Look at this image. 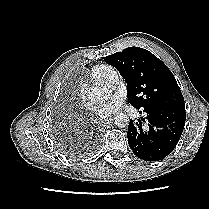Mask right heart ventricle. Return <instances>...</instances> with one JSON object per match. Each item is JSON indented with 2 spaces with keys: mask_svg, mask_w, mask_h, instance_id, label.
I'll return each mask as SVG.
<instances>
[{
  "mask_svg": "<svg viewBox=\"0 0 209 209\" xmlns=\"http://www.w3.org/2000/svg\"><path fill=\"white\" fill-rule=\"evenodd\" d=\"M114 70L111 66L106 65V64H100L94 66L91 71L90 75L91 77L100 82V83H107V78L109 73Z\"/></svg>",
  "mask_w": 209,
  "mask_h": 209,
  "instance_id": "1",
  "label": "right heart ventricle"
}]
</instances>
